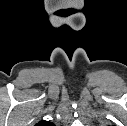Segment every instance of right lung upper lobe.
Returning a JSON list of instances; mask_svg holds the SVG:
<instances>
[{
  "label": "right lung upper lobe",
  "instance_id": "right-lung-upper-lobe-1",
  "mask_svg": "<svg viewBox=\"0 0 127 126\" xmlns=\"http://www.w3.org/2000/svg\"><path fill=\"white\" fill-rule=\"evenodd\" d=\"M35 126H54V124H52L49 121L42 120V121L38 122Z\"/></svg>",
  "mask_w": 127,
  "mask_h": 126
}]
</instances>
